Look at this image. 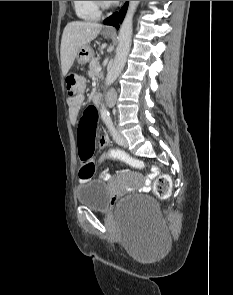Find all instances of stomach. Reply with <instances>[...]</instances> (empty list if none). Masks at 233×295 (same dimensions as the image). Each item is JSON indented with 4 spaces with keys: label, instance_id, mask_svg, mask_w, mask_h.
I'll return each instance as SVG.
<instances>
[{
    "label": "stomach",
    "instance_id": "stomach-1",
    "mask_svg": "<svg viewBox=\"0 0 233 295\" xmlns=\"http://www.w3.org/2000/svg\"><path fill=\"white\" fill-rule=\"evenodd\" d=\"M105 37H111L112 34L103 32ZM93 58V52L90 46L85 45L81 47L76 55V60L79 64H86Z\"/></svg>",
    "mask_w": 233,
    "mask_h": 295
}]
</instances>
